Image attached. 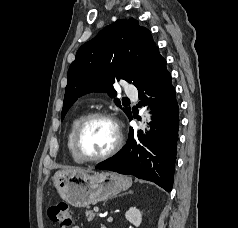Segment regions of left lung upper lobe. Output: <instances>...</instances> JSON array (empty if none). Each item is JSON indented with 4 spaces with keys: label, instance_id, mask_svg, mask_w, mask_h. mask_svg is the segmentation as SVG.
<instances>
[{
    "label": "left lung upper lobe",
    "instance_id": "1",
    "mask_svg": "<svg viewBox=\"0 0 238 228\" xmlns=\"http://www.w3.org/2000/svg\"><path fill=\"white\" fill-rule=\"evenodd\" d=\"M158 49L151 32L138 21L118 19L82 45L68 70V81L62 109V119L73 103L90 92H107L113 98L117 92L113 83L124 79L137 86L144 68ZM129 117L130 108H122Z\"/></svg>",
    "mask_w": 238,
    "mask_h": 228
}]
</instances>
